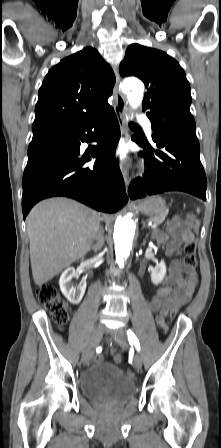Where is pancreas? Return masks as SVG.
<instances>
[{"instance_id":"cf45deb5","label":"pancreas","mask_w":221,"mask_h":448,"mask_svg":"<svg viewBox=\"0 0 221 448\" xmlns=\"http://www.w3.org/2000/svg\"><path fill=\"white\" fill-rule=\"evenodd\" d=\"M166 214L167 213H165L163 215L151 217L150 221H152L153 223H156L157 225H159V224H161L164 221V219L166 217Z\"/></svg>"}]
</instances>
